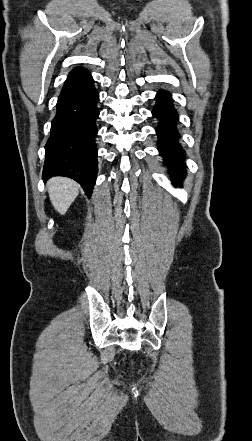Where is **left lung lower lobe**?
<instances>
[{
  "label": "left lung lower lobe",
  "mask_w": 252,
  "mask_h": 441,
  "mask_svg": "<svg viewBox=\"0 0 252 441\" xmlns=\"http://www.w3.org/2000/svg\"><path fill=\"white\" fill-rule=\"evenodd\" d=\"M156 99L152 114L159 120V126L156 129L159 153L165 164L170 166L169 172L173 175V184L181 186L184 179L181 172L185 169L183 163L185 153L179 143V133L176 127L178 113L169 92H158Z\"/></svg>",
  "instance_id": "obj_1"
}]
</instances>
